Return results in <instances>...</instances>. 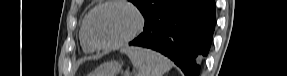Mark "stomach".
<instances>
[{"mask_svg":"<svg viewBox=\"0 0 287 76\" xmlns=\"http://www.w3.org/2000/svg\"><path fill=\"white\" fill-rule=\"evenodd\" d=\"M121 67V64L116 61L105 62L89 76H116Z\"/></svg>","mask_w":287,"mask_h":76,"instance_id":"1","label":"stomach"}]
</instances>
